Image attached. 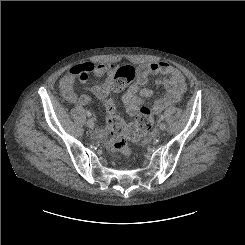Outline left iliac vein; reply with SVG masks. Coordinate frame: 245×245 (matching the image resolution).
<instances>
[{"label":"left iliac vein","mask_w":245,"mask_h":245,"mask_svg":"<svg viewBox=\"0 0 245 245\" xmlns=\"http://www.w3.org/2000/svg\"><path fill=\"white\" fill-rule=\"evenodd\" d=\"M159 129H160L161 131H164V130L166 129V124H165L164 122H161V123L159 124Z\"/></svg>","instance_id":"obj_1"}]
</instances>
